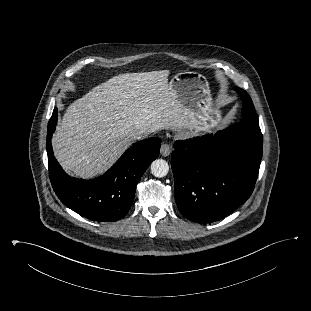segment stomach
I'll list each match as a JSON object with an SVG mask.
<instances>
[{
  "label": "stomach",
  "mask_w": 311,
  "mask_h": 311,
  "mask_svg": "<svg viewBox=\"0 0 311 311\" xmlns=\"http://www.w3.org/2000/svg\"><path fill=\"white\" fill-rule=\"evenodd\" d=\"M169 84L176 99L191 112L195 125L209 130L219 124L221 114L212 102L206 77L194 71H183L176 74Z\"/></svg>",
  "instance_id": "0dacf381"
}]
</instances>
